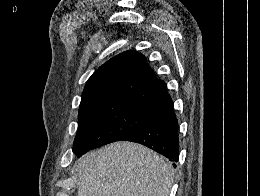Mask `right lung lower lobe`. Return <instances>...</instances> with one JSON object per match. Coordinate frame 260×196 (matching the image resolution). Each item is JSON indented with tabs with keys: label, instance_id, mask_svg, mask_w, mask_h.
<instances>
[{
	"label": "right lung lower lobe",
	"instance_id": "98d812e1",
	"mask_svg": "<svg viewBox=\"0 0 260 196\" xmlns=\"http://www.w3.org/2000/svg\"><path fill=\"white\" fill-rule=\"evenodd\" d=\"M145 111L155 117L123 136L119 141H131L145 145L162 154L176 167L179 158L178 121L173 110V102L168 93L144 106ZM89 148L73 150L78 157Z\"/></svg>",
	"mask_w": 260,
	"mask_h": 196
}]
</instances>
